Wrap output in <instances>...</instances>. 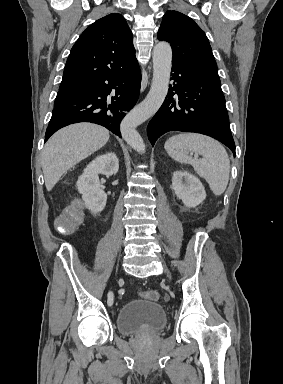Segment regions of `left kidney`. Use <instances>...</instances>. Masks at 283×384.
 I'll list each match as a JSON object with an SVG mask.
<instances>
[{
  "instance_id": "obj_1",
  "label": "left kidney",
  "mask_w": 283,
  "mask_h": 384,
  "mask_svg": "<svg viewBox=\"0 0 283 384\" xmlns=\"http://www.w3.org/2000/svg\"><path fill=\"white\" fill-rule=\"evenodd\" d=\"M172 186L177 198L188 208H196L206 200L203 184L189 172H174Z\"/></svg>"
}]
</instances>
